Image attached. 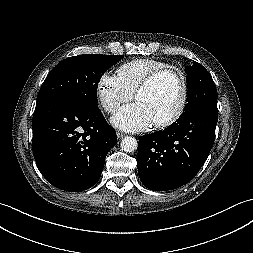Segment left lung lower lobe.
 Segmentation results:
<instances>
[{
    "instance_id": "obj_1",
    "label": "left lung lower lobe",
    "mask_w": 253,
    "mask_h": 253,
    "mask_svg": "<svg viewBox=\"0 0 253 253\" xmlns=\"http://www.w3.org/2000/svg\"><path fill=\"white\" fill-rule=\"evenodd\" d=\"M217 108L199 107L164 130L139 137L137 167L150 190L165 191L191 181L215 138Z\"/></svg>"
}]
</instances>
